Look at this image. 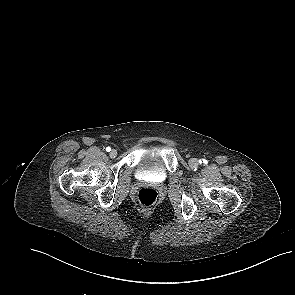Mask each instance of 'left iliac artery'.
<instances>
[{"mask_svg":"<svg viewBox=\"0 0 295 295\" xmlns=\"http://www.w3.org/2000/svg\"><path fill=\"white\" fill-rule=\"evenodd\" d=\"M200 163H204V164H207V161L202 159V160H199Z\"/></svg>","mask_w":295,"mask_h":295,"instance_id":"44dca946","label":"left iliac artery"}]
</instances>
